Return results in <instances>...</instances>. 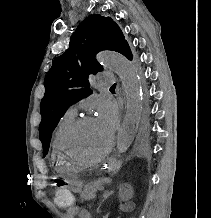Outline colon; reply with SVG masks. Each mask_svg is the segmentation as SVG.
<instances>
[{"label":"colon","instance_id":"colon-1","mask_svg":"<svg viewBox=\"0 0 211 218\" xmlns=\"http://www.w3.org/2000/svg\"><path fill=\"white\" fill-rule=\"evenodd\" d=\"M57 206L60 208H72L75 206V197L72 191L64 186H58L54 196Z\"/></svg>","mask_w":211,"mask_h":218}]
</instances>
